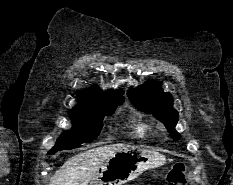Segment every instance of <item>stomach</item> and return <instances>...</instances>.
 Listing matches in <instances>:
<instances>
[{
  "label": "stomach",
  "instance_id": "0dacf381",
  "mask_svg": "<svg viewBox=\"0 0 233 185\" xmlns=\"http://www.w3.org/2000/svg\"><path fill=\"white\" fill-rule=\"evenodd\" d=\"M166 158L155 151L127 146L116 152L97 172L89 185H123L146 170L165 164Z\"/></svg>",
  "mask_w": 233,
  "mask_h": 185
}]
</instances>
